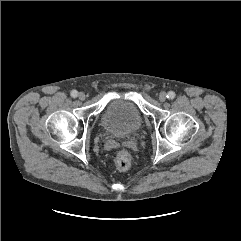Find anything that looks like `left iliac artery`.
<instances>
[{
  "label": "left iliac artery",
  "mask_w": 241,
  "mask_h": 241,
  "mask_svg": "<svg viewBox=\"0 0 241 241\" xmlns=\"http://www.w3.org/2000/svg\"><path fill=\"white\" fill-rule=\"evenodd\" d=\"M176 96V94L173 92V91H169L168 94H167V98L168 99H174Z\"/></svg>",
  "instance_id": "44dca946"
}]
</instances>
